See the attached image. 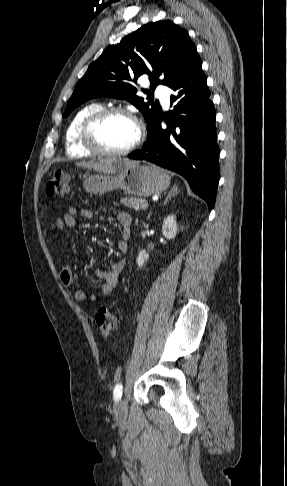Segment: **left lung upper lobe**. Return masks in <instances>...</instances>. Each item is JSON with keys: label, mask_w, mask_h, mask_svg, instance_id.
Masks as SVG:
<instances>
[{"label": "left lung upper lobe", "mask_w": 287, "mask_h": 486, "mask_svg": "<svg viewBox=\"0 0 287 486\" xmlns=\"http://www.w3.org/2000/svg\"><path fill=\"white\" fill-rule=\"evenodd\" d=\"M199 58L188 33L172 21L144 25L107 47L78 81L63 117L87 100L99 96L126 99L143 114L148 128L161 116L162 108L150 97L145 102L136 95L133 83L148 75L150 90L158 84L169 86ZM153 70V71H152ZM152 71V72H151ZM161 78V79H159ZM150 90H143L151 94Z\"/></svg>", "instance_id": "obj_1"}]
</instances>
